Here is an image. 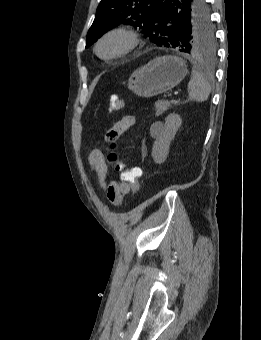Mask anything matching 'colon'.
I'll list each match as a JSON object with an SVG mask.
<instances>
[{
	"mask_svg": "<svg viewBox=\"0 0 261 340\" xmlns=\"http://www.w3.org/2000/svg\"><path fill=\"white\" fill-rule=\"evenodd\" d=\"M124 101L117 96L113 95L110 99L109 109L111 111H117L123 108ZM117 145L112 143L110 145L111 152L108 155V161L113 165L116 171H121V178L129 184L131 190L139 193L142 190L141 184L139 182V177L141 175V170L139 168H125L124 164L118 159L115 152Z\"/></svg>",
	"mask_w": 261,
	"mask_h": 340,
	"instance_id": "colon-1",
	"label": "colon"
}]
</instances>
